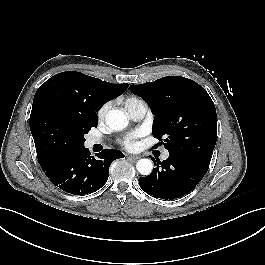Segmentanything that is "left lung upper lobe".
<instances>
[{
    "instance_id": "5c2ea615",
    "label": "left lung upper lobe",
    "mask_w": 265,
    "mask_h": 265,
    "mask_svg": "<svg viewBox=\"0 0 265 265\" xmlns=\"http://www.w3.org/2000/svg\"><path fill=\"white\" fill-rule=\"evenodd\" d=\"M130 90L150 106L155 115L153 136L164 138L159 145L164 144L170 156L209 167L217 140V115L202 86L184 77L167 76L131 85Z\"/></svg>"
}]
</instances>
